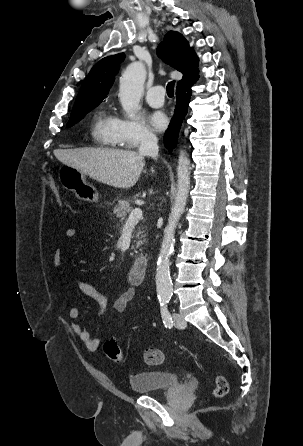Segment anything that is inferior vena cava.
I'll use <instances>...</instances> for the list:
<instances>
[{"label": "inferior vena cava", "mask_w": 303, "mask_h": 446, "mask_svg": "<svg viewBox=\"0 0 303 446\" xmlns=\"http://www.w3.org/2000/svg\"><path fill=\"white\" fill-rule=\"evenodd\" d=\"M158 151L159 147L157 144V137L152 133L146 134L141 140L139 154L148 155L154 159H157Z\"/></svg>", "instance_id": "obj_1"}]
</instances>
